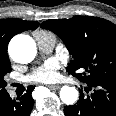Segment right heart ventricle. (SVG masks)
I'll use <instances>...</instances> for the list:
<instances>
[{"label":"right heart ventricle","mask_w":116,"mask_h":116,"mask_svg":"<svg viewBox=\"0 0 116 116\" xmlns=\"http://www.w3.org/2000/svg\"><path fill=\"white\" fill-rule=\"evenodd\" d=\"M34 36L36 38H48V39H55L56 40L55 35L48 30H37L34 32Z\"/></svg>","instance_id":"right-heart-ventricle-1"}]
</instances>
